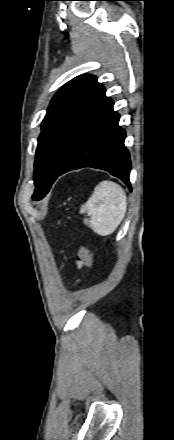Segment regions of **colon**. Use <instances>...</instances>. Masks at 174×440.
Listing matches in <instances>:
<instances>
[{
  "mask_svg": "<svg viewBox=\"0 0 174 440\" xmlns=\"http://www.w3.org/2000/svg\"><path fill=\"white\" fill-rule=\"evenodd\" d=\"M78 255L87 267H89L91 269L95 268V262H94L93 255L85 245L79 246Z\"/></svg>",
  "mask_w": 174,
  "mask_h": 440,
  "instance_id": "obj_1",
  "label": "colon"
}]
</instances>
